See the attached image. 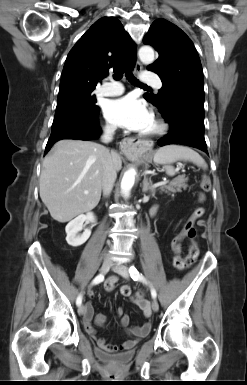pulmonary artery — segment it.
Segmentation results:
<instances>
[{"label": "pulmonary artery", "mask_w": 247, "mask_h": 385, "mask_svg": "<svg viewBox=\"0 0 247 385\" xmlns=\"http://www.w3.org/2000/svg\"><path fill=\"white\" fill-rule=\"evenodd\" d=\"M142 81L154 85L157 89H160L162 87V82L160 78L150 73H145L142 76ZM123 91V86L116 81L107 82L102 85L98 90L99 94L102 96H116L123 93Z\"/></svg>", "instance_id": "1"}]
</instances>
